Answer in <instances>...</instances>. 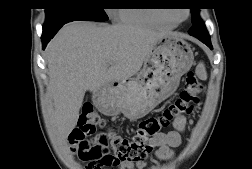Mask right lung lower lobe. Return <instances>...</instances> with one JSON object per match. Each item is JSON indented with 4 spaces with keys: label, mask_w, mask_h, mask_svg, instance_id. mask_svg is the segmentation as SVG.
Here are the masks:
<instances>
[{
    "label": "right lung lower lobe",
    "mask_w": 252,
    "mask_h": 169,
    "mask_svg": "<svg viewBox=\"0 0 252 169\" xmlns=\"http://www.w3.org/2000/svg\"><path fill=\"white\" fill-rule=\"evenodd\" d=\"M63 26V25H62ZM62 26H58L49 30H43L42 33V45H43V49L46 47L47 43L49 42V40L51 38H53V36L58 32V30L62 27Z\"/></svg>",
    "instance_id": "1"
}]
</instances>
